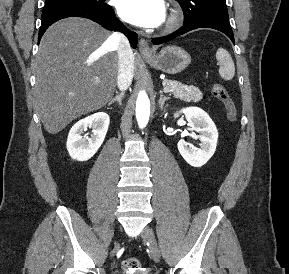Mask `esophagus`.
Instances as JSON below:
<instances>
[{"mask_svg":"<svg viewBox=\"0 0 289 274\" xmlns=\"http://www.w3.org/2000/svg\"><path fill=\"white\" fill-rule=\"evenodd\" d=\"M139 51L143 56H151L153 54V51L148 44V41L144 38H141L139 40Z\"/></svg>","mask_w":289,"mask_h":274,"instance_id":"esophagus-1","label":"esophagus"}]
</instances>
